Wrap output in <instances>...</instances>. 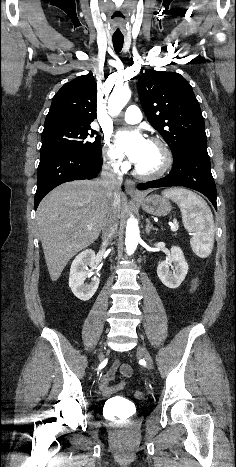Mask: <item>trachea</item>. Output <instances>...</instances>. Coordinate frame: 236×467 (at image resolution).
<instances>
[{"instance_id":"3493384b","label":"trachea","mask_w":236,"mask_h":467,"mask_svg":"<svg viewBox=\"0 0 236 467\" xmlns=\"http://www.w3.org/2000/svg\"><path fill=\"white\" fill-rule=\"evenodd\" d=\"M124 38L113 37V46L115 51L118 53L123 47Z\"/></svg>"}]
</instances>
